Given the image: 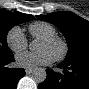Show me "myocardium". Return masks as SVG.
<instances>
[{"label":"myocardium","instance_id":"f54148a6","mask_svg":"<svg viewBox=\"0 0 89 89\" xmlns=\"http://www.w3.org/2000/svg\"><path fill=\"white\" fill-rule=\"evenodd\" d=\"M40 40L48 42V43H59L61 45V51L59 52V54H57L54 57V60L59 62L65 59L69 51V45L64 38L58 35H52V36L42 37L40 38Z\"/></svg>","mask_w":89,"mask_h":89}]
</instances>
